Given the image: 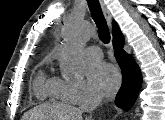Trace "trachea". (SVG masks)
Wrapping results in <instances>:
<instances>
[{
    "label": "trachea",
    "instance_id": "1",
    "mask_svg": "<svg viewBox=\"0 0 165 120\" xmlns=\"http://www.w3.org/2000/svg\"><path fill=\"white\" fill-rule=\"evenodd\" d=\"M92 18L98 28L99 38L104 44L110 42V33L98 0H87Z\"/></svg>",
    "mask_w": 165,
    "mask_h": 120
}]
</instances>
